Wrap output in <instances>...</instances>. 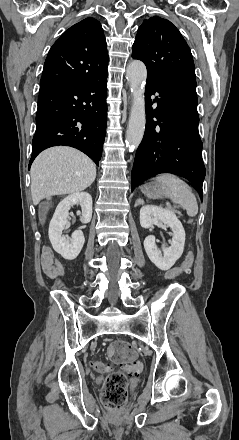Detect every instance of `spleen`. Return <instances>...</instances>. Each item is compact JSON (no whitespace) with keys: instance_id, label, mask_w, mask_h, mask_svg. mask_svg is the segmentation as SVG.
Returning a JSON list of instances; mask_svg holds the SVG:
<instances>
[{"instance_id":"3e777b00","label":"spleen","mask_w":239,"mask_h":440,"mask_svg":"<svg viewBox=\"0 0 239 440\" xmlns=\"http://www.w3.org/2000/svg\"><path fill=\"white\" fill-rule=\"evenodd\" d=\"M156 180L166 186L169 198H171L172 202L180 204L183 210H187L188 216H196L198 204L188 184H185L183 180H179V178L173 176V174H160Z\"/></svg>"}]
</instances>
